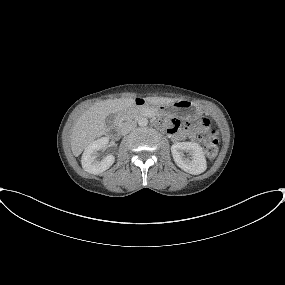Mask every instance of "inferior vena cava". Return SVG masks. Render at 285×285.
Wrapping results in <instances>:
<instances>
[{
    "mask_svg": "<svg viewBox=\"0 0 285 285\" xmlns=\"http://www.w3.org/2000/svg\"><path fill=\"white\" fill-rule=\"evenodd\" d=\"M136 124L134 122H126L122 125L120 131L122 135L128 134L130 131L134 130Z\"/></svg>",
    "mask_w": 285,
    "mask_h": 285,
    "instance_id": "1",
    "label": "inferior vena cava"
}]
</instances>
